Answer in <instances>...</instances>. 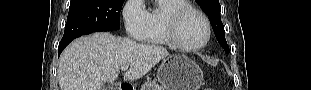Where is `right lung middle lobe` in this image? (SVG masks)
<instances>
[{"label":"right lung middle lobe","mask_w":311,"mask_h":90,"mask_svg":"<svg viewBox=\"0 0 311 90\" xmlns=\"http://www.w3.org/2000/svg\"><path fill=\"white\" fill-rule=\"evenodd\" d=\"M124 0H71L63 38L60 43L97 31L120 28Z\"/></svg>","instance_id":"right-lung-middle-lobe-1"}]
</instances>
